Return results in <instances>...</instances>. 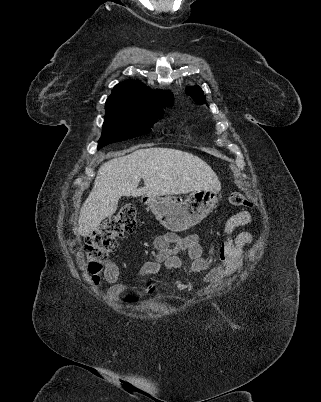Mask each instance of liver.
Returning a JSON list of instances; mask_svg holds the SVG:
<instances>
[{
    "label": "liver",
    "mask_w": 321,
    "mask_h": 402,
    "mask_svg": "<svg viewBox=\"0 0 321 402\" xmlns=\"http://www.w3.org/2000/svg\"><path fill=\"white\" fill-rule=\"evenodd\" d=\"M141 179L144 187L138 188ZM209 188L219 191V179L198 156L171 148L137 149L100 166L80 209L78 233L84 237L91 234L116 212L122 196L186 194Z\"/></svg>",
    "instance_id": "6515ba94"
}]
</instances>
